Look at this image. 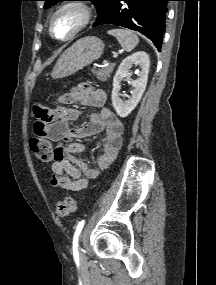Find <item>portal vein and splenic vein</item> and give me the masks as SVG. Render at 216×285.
I'll use <instances>...</instances> for the list:
<instances>
[{
	"label": "portal vein and splenic vein",
	"instance_id": "portal-vein-and-splenic-vein-1",
	"mask_svg": "<svg viewBox=\"0 0 216 285\" xmlns=\"http://www.w3.org/2000/svg\"><path fill=\"white\" fill-rule=\"evenodd\" d=\"M114 56H117V54H114ZM104 64H108V62H104Z\"/></svg>",
	"mask_w": 216,
	"mask_h": 285
}]
</instances>
